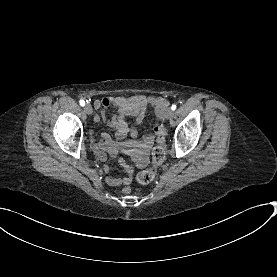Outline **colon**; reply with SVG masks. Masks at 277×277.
Returning <instances> with one entry per match:
<instances>
[{
	"mask_svg": "<svg viewBox=\"0 0 277 277\" xmlns=\"http://www.w3.org/2000/svg\"><path fill=\"white\" fill-rule=\"evenodd\" d=\"M106 100H103L105 102ZM156 139L158 142V146L154 149L152 155V167L146 171H143L138 174L137 180L141 184H148L152 182L156 177V171L161 166L164 156L165 149L163 146L164 143V132L160 126L156 128Z\"/></svg>",
	"mask_w": 277,
	"mask_h": 277,
	"instance_id": "obj_1",
	"label": "colon"
}]
</instances>
